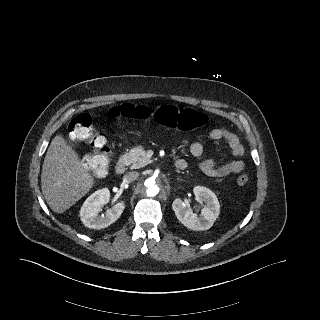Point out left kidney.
I'll use <instances>...</instances> for the list:
<instances>
[{
  "label": "left kidney",
  "instance_id": "1",
  "mask_svg": "<svg viewBox=\"0 0 320 320\" xmlns=\"http://www.w3.org/2000/svg\"><path fill=\"white\" fill-rule=\"evenodd\" d=\"M193 191L195 200L205 203L200 215L194 213L192 208L180 198L173 201L172 208L177 219L188 229L194 231L208 230L212 227L220 213L219 201L216 195L206 187L196 186Z\"/></svg>",
  "mask_w": 320,
  "mask_h": 320
}]
</instances>
